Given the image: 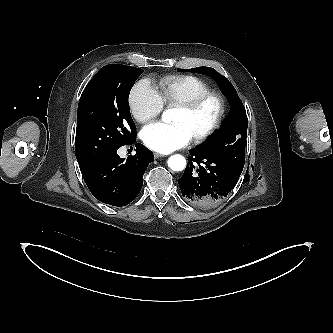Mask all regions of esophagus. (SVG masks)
Returning a JSON list of instances; mask_svg holds the SVG:
<instances>
[{"instance_id": "34e87169", "label": "esophagus", "mask_w": 333, "mask_h": 333, "mask_svg": "<svg viewBox=\"0 0 333 333\" xmlns=\"http://www.w3.org/2000/svg\"><path fill=\"white\" fill-rule=\"evenodd\" d=\"M154 157H155L156 159H158V158H160V157H164V155L155 152V153H154Z\"/></svg>"}]
</instances>
